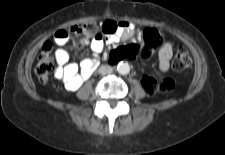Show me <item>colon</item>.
I'll return each mask as SVG.
<instances>
[{
    "mask_svg": "<svg viewBox=\"0 0 225 155\" xmlns=\"http://www.w3.org/2000/svg\"><path fill=\"white\" fill-rule=\"evenodd\" d=\"M71 33V42L77 49L84 48L91 39L98 34V25L93 22L74 25L67 29ZM163 34L154 28H146L142 33L140 43H132L126 46L113 47L108 54V61L112 66H119L121 61H132L136 57L149 59L154 51L163 41ZM52 44L47 42L42 47L37 59L35 73L42 84H46L54 71V60L51 54ZM191 64V58L187 50L179 46L176 49L172 67L175 71H183ZM143 88L148 95L171 92L175 83L171 79L156 80L149 76H144L142 80Z\"/></svg>",
    "mask_w": 225,
    "mask_h": 155,
    "instance_id": "5ec220e1",
    "label": "colon"
}]
</instances>
